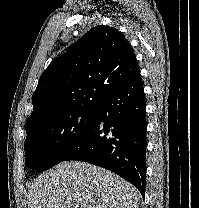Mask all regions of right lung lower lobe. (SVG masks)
Masks as SVG:
<instances>
[{
	"label": "right lung lower lobe",
	"mask_w": 199,
	"mask_h": 208,
	"mask_svg": "<svg viewBox=\"0 0 199 208\" xmlns=\"http://www.w3.org/2000/svg\"><path fill=\"white\" fill-rule=\"evenodd\" d=\"M146 102L141 76L103 97L85 136L62 161L79 160L106 168L145 196Z\"/></svg>",
	"instance_id": "obj_1"
}]
</instances>
